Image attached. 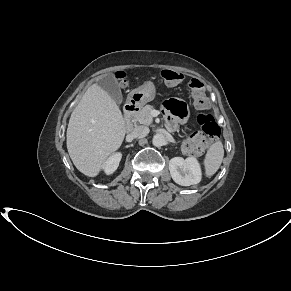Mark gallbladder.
Listing matches in <instances>:
<instances>
[{
	"label": "gallbladder",
	"mask_w": 291,
	"mask_h": 291,
	"mask_svg": "<svg viewBox=\"0 0 291 291\" xmlns=\"http://www.w3.org/2000/svg\"><path fill=\"white\" fill-rule=\"evenodd\" d=\"M97 84L99 87L105 90L117 104L122 103V92L114 74L108 73L101 76L98 79Z\"/></svg>",
	"instance_id": "obj_1"
}]
</instances>
